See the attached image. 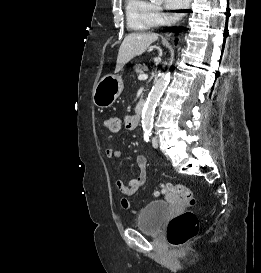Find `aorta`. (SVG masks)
<instances>
[{"instance_id": "1", "label": "aorta", "mask_w": 261, "mask_h": 273, "mask_svg": "<svg viewBox=\"0 0 261 273\" xmlns=\"http://www.w3.org/2000/svg\"><path fill=\"white\" fill-rule=\"evenodd\" d=\"M151 1L154 3L161 2V0H151ZM169 80H170V74L163 73L159 77V79L155 81L148 95L147 101L142 111V126L146 130H151L153 128V118H154L155 108L166 86L168 85Z\"/></svg>"}]
</instances>
